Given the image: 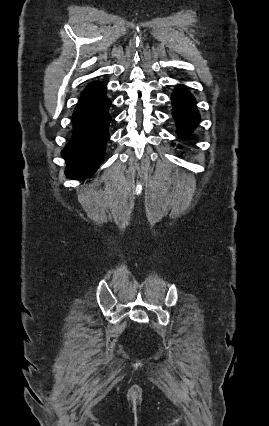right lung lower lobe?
<instances>
[{"label":"right lung lower lobe","mask_w":269,"mask_h":426,"mask_svg":"<svg viewBox=\"0 0 269 426\" xmlns=\"http://www.w3.org/2000/svg\"><path fill=\"white\" fill-rule=\"evenodd\" d=\"M110 105L106 87L98 82L90 84L81 95L73 113V135L62 151L70 179L91 176L103 161L109 139Z\"/></svg>","instance_id":"obj_1"}]
</instances>
